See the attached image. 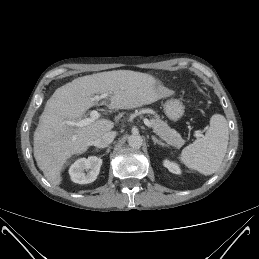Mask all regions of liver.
<instances>
[{"label": "liver", "instance_id": "6515ba94", "mask_svg": "<svg viewBox=\"0 0 259 259\" xmlns=\"http://www.w3.org/2000/svg\"><path fill=\"white\" fill-rule=\"evenodd\" d=\"M109 94L110 109H133L151 104L171 91H162L153 76L131 70L87 75L56 89L46 102L34 132V157L45 178L53 185L62 181L61 170L72 155L84 153L92 142L109 132L114 123L99 119L77 127L68 122L81 120L97 104L95 94Z\"/></svg>", "mask_w": 259, "mask_h": 259}]
</instances>
